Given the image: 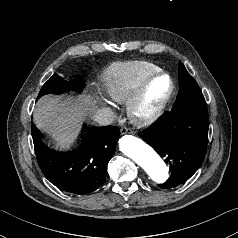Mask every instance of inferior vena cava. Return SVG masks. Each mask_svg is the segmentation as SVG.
Masks as SVG:
<instances>
[{
  "label": "inferior vena cava",
  "instance_id": "inferior-vena-cava-1",
  "mask_svg": "<svg viewBox=\"0 0 238 238\" xmlns=\"http://www.w3.org/2000/svg\"><path fill=\"white\" fill-rule=\"evenodd\" d=\"M92 118L95 122L102 126L111 125L114 122V114L109 108L95 111L92 114Z\"/></svg>",
  "mask_w": 238,
  "mask_h": 238
}]
</instances>
